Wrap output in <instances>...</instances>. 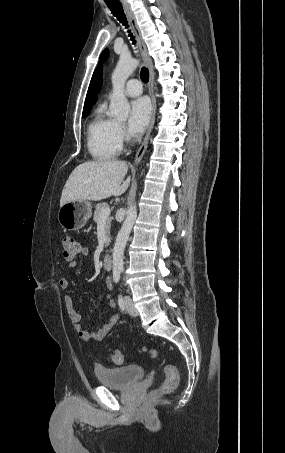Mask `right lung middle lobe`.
<instances>
[{
    "label": "right lung middle lobe",
    "mask_w": 285,
    "mask_h": 453,
    "mask_svg": "<svg viewBox=\"0 0 285 453\" xmlns=\"http://www.w3.org/2000/svg\"><path fill=\"white\" fill-rule=\"evenodd\" d=\"M90 111L83 112V117H87L89 115Z\"/></svg>",
    "instance_id": "right-lung-middle-lobe-1"
}]
</instances>
